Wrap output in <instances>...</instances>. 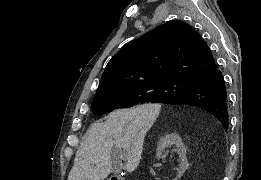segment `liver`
I'll return each mask as SVG.
<instances>
[{"label": "liver", "mask_w": 261, "mask_h": 180, "mask_svg": "<svg viewBox=\"0 0 261 180\" xmlns=\"http://www.w3.org/2000/svg\"><path fill=\"white\" fill-rule=\"evenodd\" d=\"M158 104H144L132 110H115L105 122H94L75 154L68 180H105L125 160L131 174L140 164L144 138L158 116ZM123 148L126 156H121Z\"/></svg>", "instance_id": "liver-1"}]
</instances>
